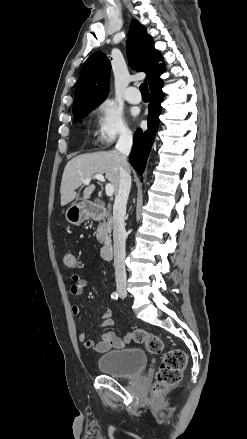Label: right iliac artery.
Listing matches in <instances>:
<instances>
[{
  "label": "right iliac artery",
  "instance_id": "82829eb1",
  "mask_svg": "<svg viewBox=\"0 0 247 439\" xmlns=\"http://www.w3.org/2000/svg\"><path fill=\"white\" fill-rule=\"evenodd\" d=\"M118 296H119V295H118L117 292H113V293L111 294V298H112V299H116V300H117V299H118Z\"/></svg>",
  "mask_w": 247,
  "mask_h": 439
}]
</instances>
